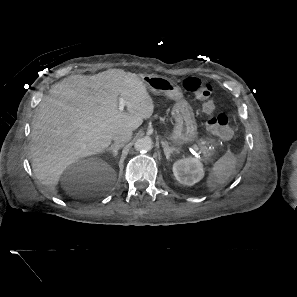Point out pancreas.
<instances>
[{
	"label": "pancreas",
	"instance_id": "pancreas-1",
	"mask_svg": "<svg viewBox=\"0 0 297 297\" xmlns=\"http://www.w3.org/2000/svg\"><path fill=\"white\" fill-rule=\"evenodd\" d=\"M206 145H207V142L205 140L200 139L198 141V146L200 147V149L203 152V154L205 155V157H210L213 155L214 151L209 150Z\"/></svg>",
	"mask_w": 297,
	"mask_h": 297
}]
</instances>
